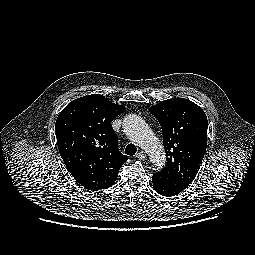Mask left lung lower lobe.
Returning a JSON list of instances; mask_svg holds the SVG:
<instances>
[{
    "mask_svg": "<svg viewBox=\"0 0 255 255\" xmlns=\"http://www.w3.org/2000/svg\"><path fill=\"white\" fill-rule=\"evenodd\" d=\"M152 182H153V187L154 189L163 196H175L178 195L179 193L183 192L184 189L180 188L163 178H161L157 173L153 174L152 177Z\"/></svg>",
    "mask_w": 255,
    "mask_h": 255,
    "instance_id": "left-lung-lower-lobe-1",
    "label": "left lung lower lobe"
}]
</instances>
